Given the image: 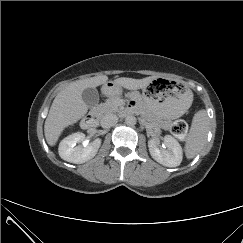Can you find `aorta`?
Listing matches in <instances>:
<instances>
[{
  "instance_id": "1",
  "label": "aorta",
  "mask_w": 243,
  "mask_h": 243,
  "mask_svg": "<svg viewBox=\"0 0 243 243\" xmlns=\"http://www.w3.org/2000/svg\"><path fill=\"white\" fill-rule=\"evenodd\" d=\"M137 122V119L135 116L133 115H128L126 118H125V123L128 125V126H134Z\"/></svg>"
}]
</instances>
